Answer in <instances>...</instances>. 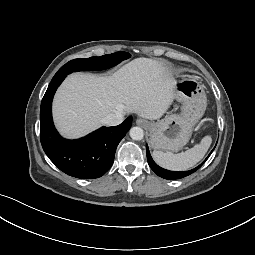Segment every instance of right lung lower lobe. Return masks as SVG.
<instances>
[{
  "mask_svg": "<svg viewBox=\"0 0 255 255\" xmlns=\"http://www.w3.org/2000/svg\"><path fill=\"white\" fill-rule=\"evenodd\" d=\"M67 74L53 77L42 99L40 137L43 150L64 173L81 179L104 175L112 166L116 148L132 124V117L114 127H102L77 140L62 138L56 131L51 113L56 89Z\"/></svg>",
  "mask_w": 255,
  "mask_h": 255,
  "instance_id": "98d812e1",
  "label": "right lung lower lobe"
}]
</instances>
